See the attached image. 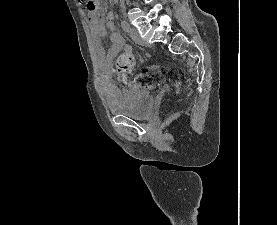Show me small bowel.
Wrapping results in <instances>:
<instances>
[{
	"label": "small bowel",
	"mask_w": 277,
	"mask_h": 225,
	"mask_svg": "<svg viewBox=\"0 0 277 225\" xmlns=\"http://www.w3.org/2000/svg\"><path fill=\"white\" fill-rule=\"evenodd\" d=\"M110 20L113 19V13H109ZM89 25L90 32L94 39L95 52L104 67L115 57V55L122 49H126L123 38L120 34L115 31V27L112 21H109L107 27L112 31L111 34V46L105 54L100 42L101 39L105 35V29L102 26V15H97L94 9L89 11ZM132 87H136V85H132ZM102 89L106 99L109 102H113L117 98V89L111 82L109 78V73L105 70L103 78H102Z\"/></svg>",
	"instance_id": "1"
}]
</instances>
